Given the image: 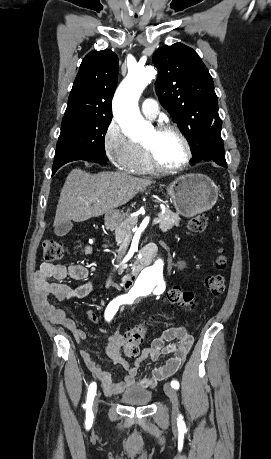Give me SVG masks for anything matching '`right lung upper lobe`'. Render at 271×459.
Listing matches in <instances>:
<instances>
[{
  "label": "right lung upper lobe",
  "instance_id": "1",
  "mask_svg": "<svg viewBox=\"0 0 271 459\" xmlns=\"http://www.w3.org/2000/svg\"><path fill=\"white\" fill-rule=\"evenodd\" d=\"M118 77V57L111 50L88 53L69 95L65 114L112 115L111 102Z\"/></svg>",
  "mask_w": 271,
  "mask_h": 459
}]
</instances>
